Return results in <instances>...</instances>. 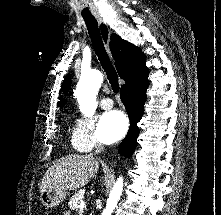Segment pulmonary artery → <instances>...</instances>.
Masks as SVG:
<instances>
[{
    "label": "pulmonary artery",
    "instance_id": "pulmonary-artery-1",
    "mask_svg": "<svg viewBox=\"0 0 221 215\" xmlns=\"http://www.w3.org/2000/svg\"><path fill=\"white\" fill-rule=\"evenodd\" d=\"M113 100L110 99V98H104L102 101H101V107L103 109H111L113 107Z\"/></svg>",
    "mask_w": 221,
    "mask_h": 215
}]
</instances>
